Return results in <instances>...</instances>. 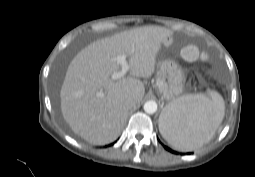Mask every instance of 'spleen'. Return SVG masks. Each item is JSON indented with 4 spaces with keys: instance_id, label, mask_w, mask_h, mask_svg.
<instances>
[{
    "instance_id": "obj_1",
    "label": "spleen",
    "mask_w": 255,
    "mask_h": 177,
    "mask_svg": "<svg viewBox=\"0 0 255 177\" xmlns=\"http://www.w3.org/2000/svg\"><path fill=\"white\" fill-rule=\"evenodd\" d=\"M164 111L159 118L164 139L176 150L191 151L212 139L223 120L225 105L219 93L211 92L209 96H182L169 103Z\"/></svg>"
}]
</instances>
